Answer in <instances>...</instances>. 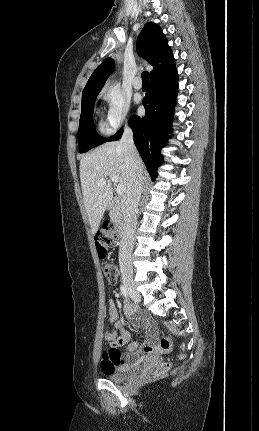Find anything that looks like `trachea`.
Wrapping results in <instances>:
<instances>
[{
	"label": "trachea",
	"instance_id": "obj_1",
	"mask_svg": "<svg viewBox=\"0 0 259 431\" xmlns=\"http://www.w3.org/2000/svg\"><path fill=\"white\" fill-rule=\"evenodd\" d=\"M141 77H142L143 84L149 83V73L148 72H146V71L143 72Z\"/></svg>",
	"mask_w": 259,
	"mask_h": 431
}]
</instances>
